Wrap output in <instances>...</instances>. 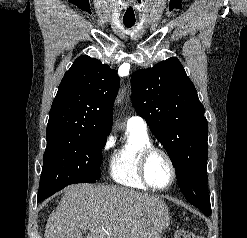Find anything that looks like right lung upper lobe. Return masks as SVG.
Returning a JSON list of instances; mask_svg holds the SVG:
<instances>
[{"label": "right lung upper lobe", "mask_w": 247, "mask_h": 238, "mask_svg": "<svg viewBox=\"0 0 247 238\" xmlns=\"http://www.w3.org/2000/svg\"><path fill=\"white\" fill-rule=\"evenodd\" d=\"M120 85L115 70L87 55L65 73L53 100L46 135L77 129L110 133Z\"/></svg>", "instance_id": "right-lung-upper-lobe-1"}]
</instances>
